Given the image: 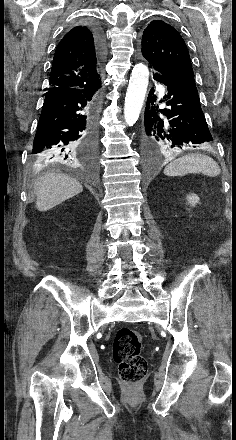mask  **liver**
Instances as JSON below:
<instances>
[{
	"instance_id": "obj_1",
	"label": "liver",
	"mask_w": 236,
	"mask_h": 440,
	"mask_svg": "<svg viewBox=\"0 0 236 440\" xmlns=\"http://www.w3.org/2000/svg\"><path fill=\"white\" fill-rule=\"evenodd\" d=\"M34 190L37 196L36 208L45 212L79 194L83 187L68 175L48 173L36 181Z\"/></svg>"
}]
</instances>
